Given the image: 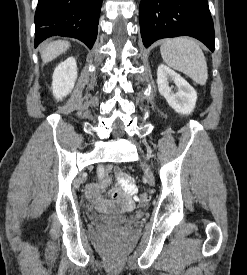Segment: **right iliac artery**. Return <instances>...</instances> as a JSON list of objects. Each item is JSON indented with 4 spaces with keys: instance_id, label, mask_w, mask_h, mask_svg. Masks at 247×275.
Wrapping results in <instances>:
<instances>
[{
    "instance_id": "1",
    "label": "right iliac artery",
    "mask_w": 247,
    "mask_h": 275,
    "mask_svg": "<svg viewBox=\"0 0 247 275\" xmlns=\"http://www.w3.org/2000/svg\"><path fill=\"white\" fill-rule=\"evenodd\" d=\"M97 174H99L100 177H103L104 174H106V169L102 164L98 165Z\"/></svg>"
}]
</instances>
